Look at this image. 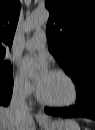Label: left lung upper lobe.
Instances as JSON below:
<instances>
[{
	"mask_svg": "<svg viewBox=\"0 0 95 130\" xmlns=\"http://www.w3.org/2000/svg\"><path fill=\"white\" fill-rule=\"evenodd\" d=\"M49 50L76 90L95 79V1L46 0Z\"/></svg>",
	"mask_w": 95,
	"mask_h": 130,
	"instance_id": "obj_1",
	"label": "left lung upper lobe"
}]
</instances>
